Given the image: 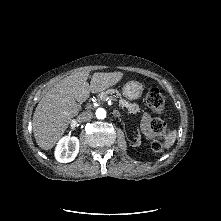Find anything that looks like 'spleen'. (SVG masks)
<instances>
[{
	"instance_id": "3e777b00",
	"label": "spleen",
	"mask_w": 221,
	"mask_h": 221,
	"mask_svg": "<svg viewBox=\"0 0 221 221\" xmlns=\"http://www.w3.org/2000/svg\"><path fill=\"white\" fill-rule=\"evenodd\" d=\"M175 138H176V135H175V132H170L168 133V135H166L165 137V148H170L173 143L175 142Z\"/></svg>"
}]
</instances>
